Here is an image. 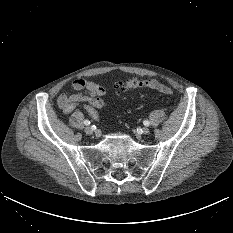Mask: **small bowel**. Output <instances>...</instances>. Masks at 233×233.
<instances>
[{
	"label": "small bowel",
	"mask_w": 233,
	"mask_h": 233,
	"mask_svg": "<svg viewBox=\"0 0 233 233\" xmlns=\"http://www.w3.org/2000/svg\"><path fill=\"white\" fill-rule=\"evenodd\" d=\"M74 93L61 94L57 104L64 114H70L76 108L83 106L93 119L101 117L100 110L106 108L107 90L104 86L84 78H78L71 85Z\"/></svg>",
	"instance_id": "small-bowel-1"
}]
</instances>
